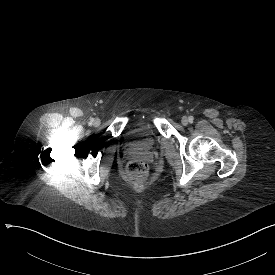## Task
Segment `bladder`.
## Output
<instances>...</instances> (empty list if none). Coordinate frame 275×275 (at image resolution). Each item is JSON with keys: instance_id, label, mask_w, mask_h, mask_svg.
Returning a JSON list of instances; mask_svg holds the SVG:
<instances>
[{"instance_id": "obj_1", "label": "bladder", "mask_w": 275, "mask_h": 275, "mask_svg": "<svg viewBox=\"0 0 275 275\" xmlns=\"http://www.w3.org/2000/svg\"><path fill=\"white\" fill-rule=\"evenodd\" d=\"M125 140L143 152L153 151L156 147L158 131L152 120L129 125L125 130Z\"/></svg>"}]
</instances>
